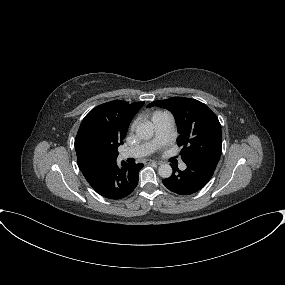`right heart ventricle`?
<instances>
[{
	"mask_svg": "<svg viewBox=\"0 0 285 285\" xmlns=\"http://www.w3.org/2000/svg\"><path fill=\"white\" fill-rule=\"evenodd\" d=\"M164 113H166V112H164V111H155V112H153L152 115H151V119H152L153 123L159 116H161Z\"/></svg>",
	"mask_w": 285,
	"mask_h": 285,
	"instance_id": "right-heart-ventricle-1",
	"label": "right heart ventricle"
}]
</instances>
